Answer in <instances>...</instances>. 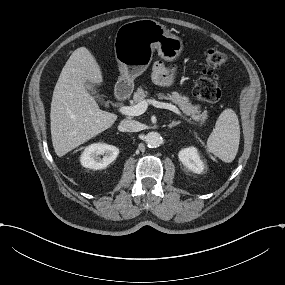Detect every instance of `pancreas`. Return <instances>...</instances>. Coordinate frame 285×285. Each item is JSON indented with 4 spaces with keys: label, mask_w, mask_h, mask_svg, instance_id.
I'll return each instance as SVG.
<instances>
[{
    "label": "pancreas",
    "mask_w": 285,
    "mask_h": 285,
    "mask_svg": "<svg viewBox=\"0 0 285 285\" xmlns=\"http://www.w3.org/2000/svg\"><path fill=\"white\" fill-rule=\"evenodd\" d=\"M147 96V92L143 90L142 87H139L133 95V103H139L143 101ZM159 99L171 100L174 104H177L178 107L183 111L187 116L195 121L204 122L207 119V112L201 113L200 105H193L189 98L186 96L180 95L178 92H172L171 94L164 95L163 93L157 94Z\"/></svg>",
    "instance_id": "1"
}]
</instances>
